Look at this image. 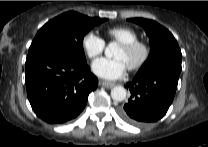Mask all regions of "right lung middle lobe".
Wrapping results in <instances>:
<instances>
[{
	"label": "right lung middle lobe",
	"instance_id": "dd1d6c3e",
	"mask_svg": "<svg viewBox=\"0 0 208 147\" xmlns=\"http://www.w3.org/2000/svg\"><path fill=\"white\" fill-rule=\"evenodd\" d=\"M105 18H90L69 11L47 22L36 34L26 60L47 54H63L79 62H86L84 36Z\"/></svg>",
	"mask_w": 208,
	"mask_h": 147
}]
</instances>
